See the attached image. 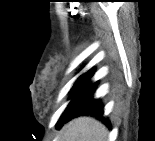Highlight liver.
Listing matches in <instances>:
<instances>
[{
  "label": "liver",
  "instance_id": "1",
  "mask_svg": "<svg viewBox=\"0 0 155 141\" xmlns=\"http://www.w3.org/2000/svg\"><path fill=\"white\" fill-rule=\"evenodd\" d=\"M107 128L91 117H78L67 123L61 133L60 141H107Z\"/></svg>",
  "mask_w": 155,
  "mask_h": 141
}]
</instances>
